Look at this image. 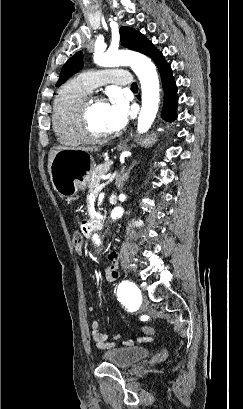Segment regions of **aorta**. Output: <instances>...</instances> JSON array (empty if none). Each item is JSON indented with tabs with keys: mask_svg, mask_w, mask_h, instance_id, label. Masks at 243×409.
<instances>
[{
	"mask_svg": "<svg viewBox=\"0 0 243 409\" xmlns=\"http://www.w3.org/2000/svg\"><path fill=\"white\" fill-rule=\"evenodd\" d=\"M94 62L102 67L128 65L140 80L142 90V108L138 117L137 131L145 133L151 127L160 101L159 79L155 65L151 60L135 52L107 51L96 52ZM124 213L122 206H115L111 212V218L116 220Z\"/></svg>",
	"mask_w": 243,
	"mask_h": 409,
	"instance_id": "762f6f07",
	"label": "aorta"
}]
</instances>
